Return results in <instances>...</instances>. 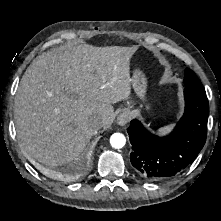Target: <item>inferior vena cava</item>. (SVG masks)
I'll use <instances>...</instances> for the list:
<instances>
[{"label":"inferior vena cava","mask_w":221,"mask_h":221,"mask_svg":"<svg viewBox=\"0 0 221 221\" xmlns=\"http://www.w3.org/2000/svg\"><path fill=\"white\" fill-rule=\"evenodd\" d=\"M102 124H103V119L100 116L93 117L89 123L90 127L93 130H99L102 127Z\"/></svg>","instance_id":"inferior-vena-cava-1"}]
</instances>
